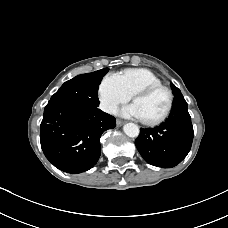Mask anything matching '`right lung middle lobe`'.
I'll use <instances>...</instances> for the list:
<instances>
[{"instance_id":"right-lung-middle-lobe-1","label":"right lung middle lobe","mask_w":228,"mask_h":228,"mask_svg":"<svg viewBox=\"0 0 228 228\" xmlns=\"http://www.w3.org/2000/svg\"><path fill=\"white\" fill-rule=\"evenodd\" d=\"M109 71L108 68L81 74L65 82L51 97L48 104H64L76 109H91L99 106L98 87Z\"/></svg>"}]
</instances>
